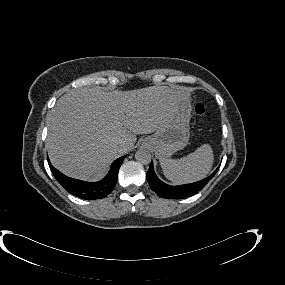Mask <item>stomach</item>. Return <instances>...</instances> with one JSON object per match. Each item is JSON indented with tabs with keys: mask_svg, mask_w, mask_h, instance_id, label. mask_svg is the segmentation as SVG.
I'll list each match as a JSON object with an SVG mask.
<instances>
[{
	"mask_svg": "<svg viewBox=\"0 0 285 285\" xmlns=\"http://www.w3.org/2000/svg\"><path fill=\"white\" fill-rule=\"evenodd\" d=\"M190 113V100L182 92L173 114L153 135L145 138L143 144L150 146L160 159H167L176 151L183 149L190 137Z\"/></svg>",
	"mask_w": 285,
	"mask_h": 285,
	"instance_id": "0dacf381",
	"label": "stomach"
}]
</instances>
